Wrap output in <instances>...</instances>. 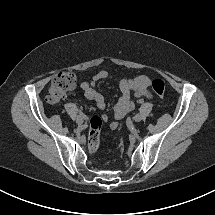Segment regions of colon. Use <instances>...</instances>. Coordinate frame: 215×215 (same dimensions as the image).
<instances>
[{"label":"colon","instance_id":"1","mask_svg":"<svg viewBox=\"0 0 215 215\" xmlns=\"http://www.w3.org/2000/svg\"><path fill=\"white\" fill-rule=\"evenodd\" d=\"M77 78L72 72H59L57 73L49 88L46 100L50 104L59 103L67 92L73 90L76 87ZM152 89L155 94L164 99L166 96L165 83L156 79L152 82ZM102 126V120L99 117H92L89 120V135H88V149L91 153L98 150L99 147V135Z\"/></svg>","mask_w":215,"mask_h":215}]
</instances>
